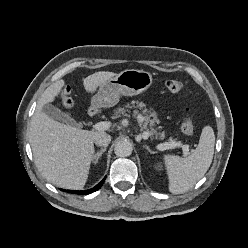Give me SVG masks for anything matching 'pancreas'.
Instances as JSON below:
<instances>
[{"mask_svg": "<svg viewBox=\"0 0 248 248\" xmlns=\"http://www.w3.org/2000/svg\"><path fill=\"white\" fill-rule=\"evenodd\" d=\"M135 109L133 111V116H136L142 125V129L146 130L150 136L155 137L158 140H163L166 138L165 132H160L161 127H155V123H159V119L153 109H147L146 105L142 102H132L123 107H118L114 111L113 118H118L120 116H129V109ZM141 113H140V111ZM128 112V113H127ZM152 117V119H151ZM169 142H176L172 137L169 138ZM181 144V142H178Z\"/></svg>", "mask_w": 248, "mask_h": 248, "instance_id": "1", "label": "pancreas"}]
</instances>
